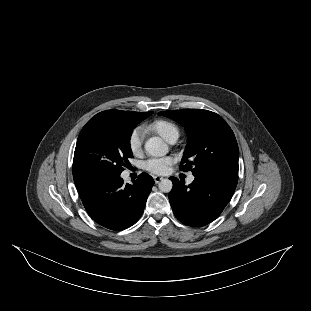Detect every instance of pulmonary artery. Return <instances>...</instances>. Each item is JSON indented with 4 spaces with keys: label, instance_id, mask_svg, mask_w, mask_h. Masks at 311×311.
Here are the masks:
<instances>
[{
    "label": "pulmonary artery",
    "instance_id": "obj_1",
    "mask_svg": "<svg viewBox=\"0 0 311 311\" xmlns=\"http://www.w3.org/2000/svg\"><path fill=\"white\" fill-rule=\"evenodd\" d=\"M175 142V140H172V141H170V143H174ZM194 176H190L189 178H188V182L189 183H191V182H193L194 181Z\"/></svg>",
    "mask_w": 311,
    "mask_h": 311
}]
</instances>
